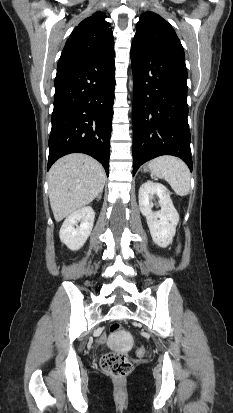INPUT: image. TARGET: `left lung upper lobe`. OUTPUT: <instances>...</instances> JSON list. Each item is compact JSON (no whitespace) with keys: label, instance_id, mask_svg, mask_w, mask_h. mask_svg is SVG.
Wrapping results in <instances>:
<instances>
[{"label":"left lung upper lobe","instance_id":"obj_1","mask_svg":"<svg viewBox=\"0 0 233 413\" xmlns=\"http://www.w3.org/2000/svg\"><path fill=\"white\" fill-rule=\"evenodd\" d=\"M132 45L155 49L185 62L184 50L172 26L160 15L145 12L137 23Z\"/></svg>","mask_w":233,"mask_h":413}]
</instances>
